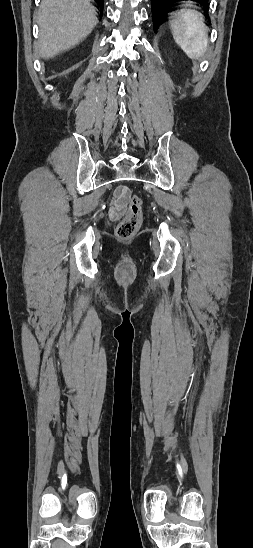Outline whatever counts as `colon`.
Instances as JSON below:
<instances>
[{
    "label": "colon",
    "instance_id": "1",
    "mask_svg": "<svg viewBox=\"0 0 253 548\" xmlns=\"http://www.w3.org/2000/svg\"><path fill=\"white\" fill-rule=\"evenodd\" d=\"M142 220V200L134 195L129 202L127 215L118 223L116 235L121 240L130 239L137 231Z\"/></svg>",
    "mask_w": 253,
    "mask_h": 548
}]
</instances>
